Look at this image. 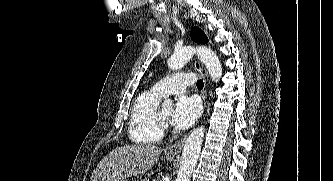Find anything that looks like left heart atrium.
<instances>
[{"instance_id": "39dd6f15", "label": "left heart atrium", "mask_w": 333, "mask_h": 181, "mask_svg": "<svg viewBox=\"0 0 333 181\" xmlns=\"http://www.w3.org/2000/svg\"><path fill=\"white\" fill-rule=\"evenodd\" d=\"M200 111V104L196 98L181 96L172 110L171 123L177 129H187L198 119Z\"/></svg>"}]
</instances>
